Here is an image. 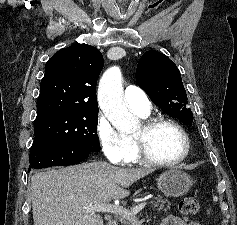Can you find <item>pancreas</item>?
Returning a JSON list of instances; mask_svg holds the SVG:
<instances>
[{
	"label": "pancreas",
	"mask_w": 237,
	"mask_h": 225,
	"mask_svg": "<svg viewBox=\"0 0 237 225\" xmlns=\"http://www.w3.org/2000/svg\"><path fill=\"white\" fill-rule=\"evenodd\" d=\"M154 200L155 201L153 205L158 207V210L166 211L167 209H169L170 203L167 199H163L161 196H156L154 197ZM117 219L122 225H132L133 221H137V217L135 216H130V217L119 216Z\"/></svg>",
	"instance_id": "cf45deb5"
}]
</instances>
